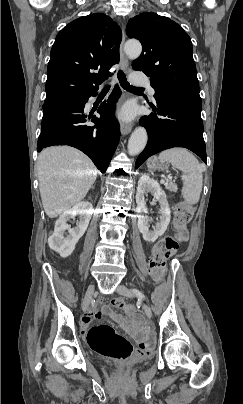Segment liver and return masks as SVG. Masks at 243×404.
Returning a JSON list of instances; mask_svg holds the SVG:
<instances>
[{
	"instance_id": "1",
	"label": "liver",
	"mask_w": 243,
	"mask_h": 404,
	"mask_svg": "<svg viewBox=\"0 0 243 404\" xmlns=\"http://www.w3.org/2000/svg\"><path fill=\"white\" fill-rule=\"evenodd\" d=\"M39 190L48 218H57L85 198L98 170L93 162L70 146H53L37 160Z\"/></svg>"
}]
</instances>
